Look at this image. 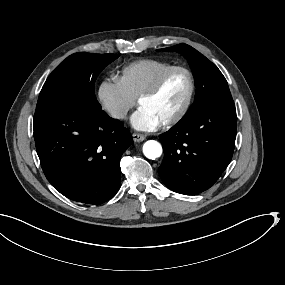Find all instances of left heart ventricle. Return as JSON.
Here are the masks:
<instances>
[{
    "label": "left heart ventricle",
    "mask_w": 285,
    "mask_h": 285,
    "mask_svg": "<svg viewBox=\"0 0 285 285\" xmlns=\"http://www.w3.org/2000/svg\"><path fill=\"white\" fill-rule=\"evenodd\" d=\"M188 85L186 78L177 74L153 97L143 105L153 112L160 120L174 114L183 104Z\"/></svg>",
    "instance_id": "b2bd125f"
}]
</instances>
